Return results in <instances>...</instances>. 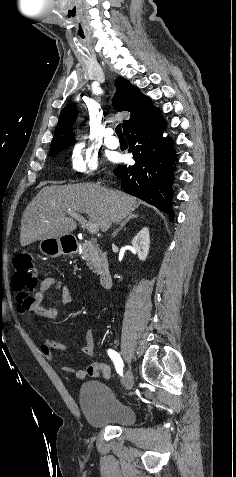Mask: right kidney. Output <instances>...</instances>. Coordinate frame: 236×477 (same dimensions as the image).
<instances>
[{
    "label": "right kidney",
    "instance_id": "1",
    "mask_svg": "<svg viewBox=\"0 0 236 477\" xmlns=\"http://www.w3.org/2000/svg\"><path fill=\"white\" fill-rule=\"evenodd\" d=\"M134 252L141 261L146 260L150 248V236L148 228H143L132 240Z\"/></svg>",
    "mask_w": 236,
    "mask_h": 477
}]
</instances>
